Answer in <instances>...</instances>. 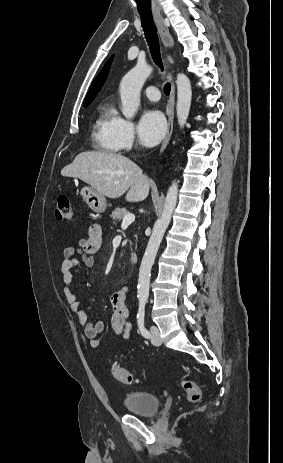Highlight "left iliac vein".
Wrapping results in <instances>:
<instances>
[{"mask_svg":"<svg viewBox=\"0 0 283 463\" xmlns=\"http://www.w3.org/2000/svg\"><path fill=\"white\" fill-rule=\"evenodd\" d=\"M151 342L155 346H159L162 343L159 329L156 326H151Z\"/></svg>","mask_w":283,"mask_h":463,"instance_id":"1","label":"left iliac vein"}]
</instances>
